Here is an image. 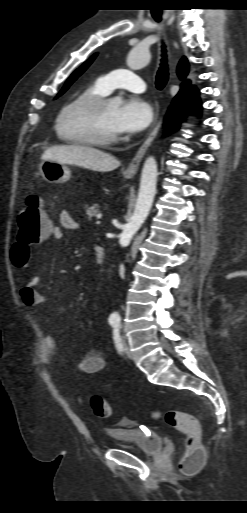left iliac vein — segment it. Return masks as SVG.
I'll return each mask as SVG.
<instances>
[{"mask_svg":"<svg viewBox=\"0 0 247 513\" xmlns=\"http://www.w3.org/2000/svg\"><path fill=\"white\" fill-rule=\"evenodd\" d=\"M122 341H123V345H124V347H125V351H126L127 355H128L130 358H132V354H131V352L129 351V347H128V344H127L126 338H125L124 336L122 337Z\"/></svg>","mask_w":247,"mask_h":513,"instance_id":"4c4485c4","label":"left iliac vein"}]
</instances>
